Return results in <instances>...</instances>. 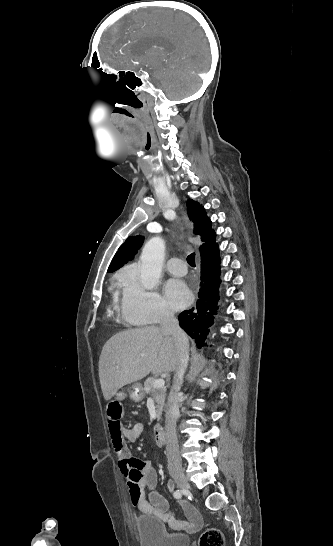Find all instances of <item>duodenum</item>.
<instances>
[{"mask_svg": "<svg viewBox=\"0 0 333 546\" xmlns=\"http://www.w3.org/2000/svg\"><path fill=\"white\" fill-rule=\"evenodd\" d=\"M153 438L156 445L161 446L164 443V434L162 426L158 425L154 427Z\"/></svg>", "mask_w": 333, "mask_h": 546, "instance_id": "obj_1", "label": "duodenum"}]
</instances>
